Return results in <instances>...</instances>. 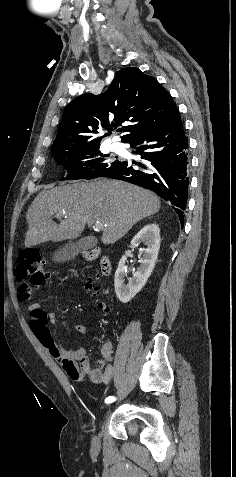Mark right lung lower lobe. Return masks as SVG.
Masks as SVG:
<instances>
[{
    "label": "right lung lower lobe",
    "mask_w": 236,
    "mask_h": 477,
    "mask_svg": "<svg viewBox=\"0 0 236 477\" xmlns=\"http://www.w3.org/2000/svg\"><path fill=\"white\" fill-rule=\"evenodd\" d=\"M129 143L145 165L122 161L105 177L124 180L149 189L173 204L183 224L188 195V142L179 112L164 126L132 138ZM134 163V162H133Z\"/></svg>",
    "instance_id": "obj_1"
}]
</instances>
